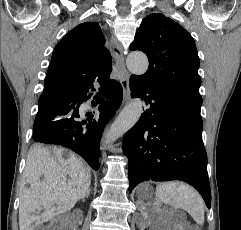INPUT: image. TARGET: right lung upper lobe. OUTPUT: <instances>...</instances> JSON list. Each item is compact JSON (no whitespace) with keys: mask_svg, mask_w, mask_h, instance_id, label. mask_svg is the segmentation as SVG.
Instances as JSON below:
<instances>
[{"mask_svg":"<svg viewBox=\"0 0 241 230\" xmlns=\"http://www.w3.org/2000/svg\"><path fill=\"white\" fill-rule=\"evenodd\" d=\"M104 44L98 23H82L69 31L52 53L39 100L58 103L86 96L94 85L102 88L114 82L109 78L111 55Z\"/></svg>","mask_w":241,"mask_h":230,"instance_id":"cb5924a9","label":"right lung upper lobe"}]
</instances>
